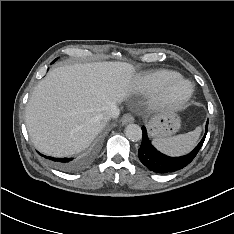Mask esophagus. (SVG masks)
<instances>
[{"mask_svg":"<svg viewBox=\"0 0 234 234\" xmlns=\"http://www.w3.org/2000/svg\"><path fill=\"white\" fill-rule=\"evenodd\" d=\"M133 122H134V117L129 113L124 114L121 118V123L123 125L128 124V123H133Z\"/></svg>","mask_w":234,"mask_h":234,"instance_id":"esophagus-1","label":"esophagus"}]
</instances>
